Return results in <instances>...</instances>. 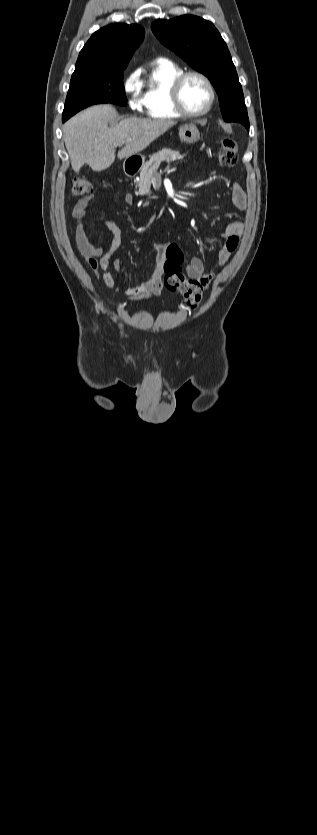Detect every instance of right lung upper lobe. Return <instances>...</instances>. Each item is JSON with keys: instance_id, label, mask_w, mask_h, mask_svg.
<instances>
[{"instance_id": "obj_1", "label": "right lung upper lobe", "mask_w": 317, "mask_h": 835, "mask_svg": "<svg viewBox=\"0 0 317 835\" xmlns=\"http://www.w3.org/2000/svg\"><path fill=\"white\" fill-rule=\"evenodd\" d=\"M143 38L144 29L136 24L101 28L84 45L75 70H124Z\"/></svg>"}]
</instances>
